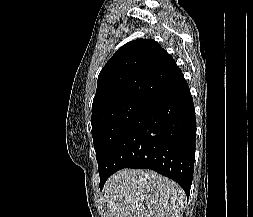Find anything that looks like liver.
<instances>
[{"instance_id": "6515ba94", "label": "liver", "mask_w": 253, "mask_h": 217, "mask_svg": "<svg viewBox=\"0 0 253 217\" xmlns=\"http://www.w3.org/2000/svg\"><path fill=\"white\" fill-rule=\"evenodd\" d=\"M105 217H181L185 192L152 170L124 169L106 183Z\"/></svg>"}]
</instances>
